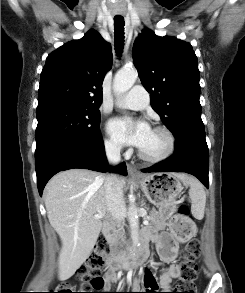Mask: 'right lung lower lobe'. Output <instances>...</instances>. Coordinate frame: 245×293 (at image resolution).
<instances>
[{
  "mask_svg": "<svg viewBox=\"0 0 245 293\" xmlns=\"http://www.w3.org/2000/svg\"><path fill=\"white\" fill-rule=\"evenodd\" d=\"M35 166L40 195L48 180L60 171L73 168L98 172L109 170L101 137L96 141L66 142L56 145L35 160ZM115 171L126 175L125 163H121Z\"/></svg>",
  "mask_w": 245,
  "mask_h": 293,
  "instance_id": "98d812e1",
  "label": "right lung lower lobe"
}]
</instances>
